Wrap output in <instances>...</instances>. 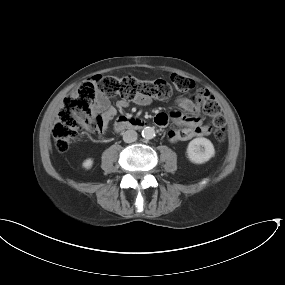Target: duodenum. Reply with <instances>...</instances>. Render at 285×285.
I'll list each match as a JSON object with an SVG mask.
<instances>
[{
    "label": "duodenum",
    "instance_id": "1",
    "mask_svg": "<svg viewBox=\"0 0 285 285\" xmlns=\"http://www.w3.org/2000/svg\"><path fill=\"white\" fill-rule=\"evenodd\" d=\"M146 126V123L140 119H133L130 117H120L114 123L115 132H121L126 129L138 130Z\"/></svg>",
    "mask_w": 285,
    "mask_h": 285
}]
</instances>
